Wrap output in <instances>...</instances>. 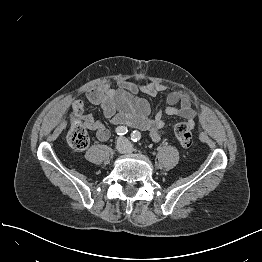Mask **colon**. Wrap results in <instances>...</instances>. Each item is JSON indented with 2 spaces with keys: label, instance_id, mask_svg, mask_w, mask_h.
<instances>
[{
  "label": "colon",
  "instance_id": "obj_1",
  "mask_svg": "<svg viewBox=\"0 0 262 262\" xmlns=\"http://www.w3.org/2000/svg\"><path fill=\"white\" fill-rule=\"evenodd\" d=\"M175 135L179 143L188 148L192 145V125L186 121L179 122L174 127ZM69 145L75 150H84L90 143V137L87 130L79 121L72 117L71 125L67 134Z\"/></svg>",
  "mask_w": 262,
  "mask_h": 262
}]
</instances>
